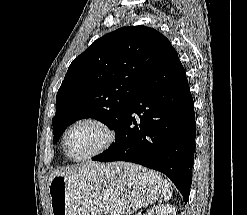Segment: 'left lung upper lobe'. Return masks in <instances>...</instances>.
Here are the masks:
<instances>
[{"label":"left lung upper lobe","instance_id":"1","mask_svg":"<svg viewBox=\"0 0 247 215\" xmlns=\"http://www.w3.org/2000/svg\"><path fill=\"white\" fill-rule=\"evenodd\" d=\"M169 46L164 35L145 26L122 27L92 43L71 63L58 90L53 143L85 117L116 131L137 89Z\"/></svg>","mask_w":247,"mask_h":215}]
</instances>
